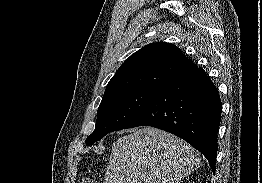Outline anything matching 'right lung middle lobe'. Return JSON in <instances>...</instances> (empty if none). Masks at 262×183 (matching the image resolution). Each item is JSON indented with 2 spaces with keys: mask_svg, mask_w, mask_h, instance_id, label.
Masks as SVG:
<instances>
[{
  "mask_svg": "<svg viewBox=\"0 0 262 183\" xmlns=\"http://www.w3.org/2000/svg\"><path fill=\"white\" fill-rule=\"evenodd\" d=\"M156 93L157 90L136 89L104 95L98 108L95 130L85 143L92 145L106 134L124 129L147 106Z\"/></svg>",
  "mask_w": 262,
  "mask_h": 183,
  "instance_id": "1",
  "label": "right lung middle lobe"
}]
</instances>
